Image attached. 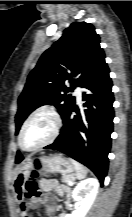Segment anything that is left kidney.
Instances as JSON below:
<instances>
[{"mask_svg":"<svg viewBox=\"0 0 132 217\" xmlns=\"http://www.w3.org/2000/svg\"><path fill=\"white\" fill-rule=\"evenodd\" d=\"M99 182L96 178H87L74 188L72 197L79 206L71 214L64 217H85L98 193Z\"/></svg>","mask_w":132,"mask_h":217,"instance_id":"left-kidney-1","label":"left kidney"}]
</instances>
